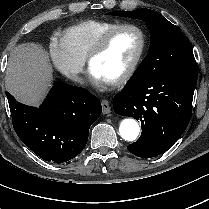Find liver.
Here are the masks:
<instances>
[{"mask_svg": "<svg viewBox=\"0 0 209 209\" xmlns=\"http://www.w3.org/2000/svg\"><path fill=\"white\" fill-rule=\"evenodd\" d=\"M48 53L35 43L20 44L12 51L6 70V89L18 101L38 105L53 80Z\"/></svg>", "mask_w": 209, "mask_h": 209, "instance_id": "liver-1", "label": "liver"}]
</instances>
